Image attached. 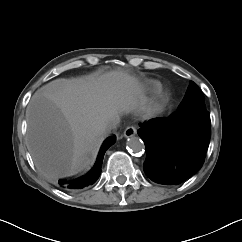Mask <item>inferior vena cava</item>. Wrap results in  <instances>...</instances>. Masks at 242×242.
Wrapping results in <instances>:
<instances>
[{"label": "inferior vena cava", "mask_w": 242, "mask_h": 242, "mask_svg": "<svg viewBox=\"0 0 242 242\" xmlns=\"http://www.w3.org/2000/svg\"><path fill=\"white\" fill-rule=\"evenodd\" d=\"M119 122H120L119 116H115L109 119L104 126L105 133H109L111 130L116 129Z\"/></svg>", "instance_id": "602c4592"}]
</instances>
